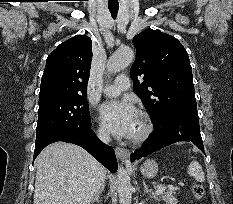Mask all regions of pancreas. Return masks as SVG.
<instances>
[{"instance_id":"cf45deb5","label":"pancreas","mask_w":233,"mask_h":204,"mask_svg":"<svg viewBox=\"0 0 233 204\" xmlns=\"http://www.w3.org/2000/svg\"><path fill=\"white\" fill-rule=\"evenodd\" d=\"M161 198L163 201L166 202V204H177L178 200L174 197V193L172 191H167L161 193Z\"/></svg>"}]
</instances>
